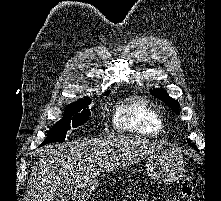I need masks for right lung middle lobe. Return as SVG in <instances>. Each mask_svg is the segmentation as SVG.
<instances>
[{"mask_svg": "<svg viewBox=\"0 0 221 201\" xmlns=\"http://www.w3.org/2000/svg\"><path fill=\"white\" fill-rule=\"evenodd\" d=\"M109 92L105 93L108 95ZM89 98H84L68 105L63 118L50 129L47 138L40 146L51 142H62L65 140V135L71 127H78L86 123L91 115L88 105L90 104Z\"/></svg>", "mask_w": 221, "mask_h": 201, "instance_id": "right-lung-middle-lobe-1", "label": "right lung middle lobe"}]
</instances>
